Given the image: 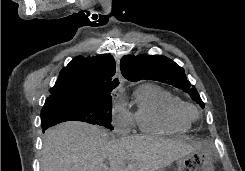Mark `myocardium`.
Here are the masks:
<instances>
[{
  "label": "myocardium",
  "instance_id": "f54148a6",
  "mask_svg": "<svg viewBox=\"0 0 245 171\" xmlns=\"http://www.w3.org/2000/svg\"><path fill=\"white\" fill-rule=\"evenodd\" d=\"M178 114L185 120L192 122L198 118V110L195 105L181 101L177 105Z\"/></svg>",
  "mask_w": 245,
  "mask_h": 171
}]
</instances>
